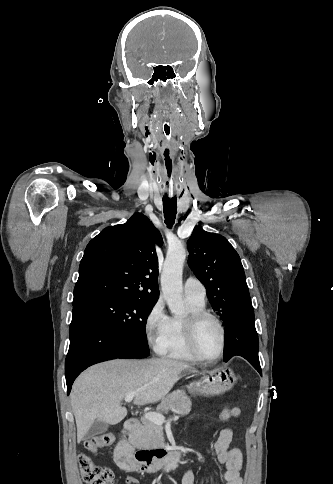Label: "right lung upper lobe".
I'll use <instances>...</instances> for the list:
<instances>
[{
	"label": "right lung upper lobe",
	"mask_w": 333,
	"mask_h": 484,
	"mask_svg": "<svg viewBox=\"0 0 333 484\" xmlns=\"http://www.w3.org/2000/svg\"><path fill=\"white\" fill-rule=\"evenodd\" d=\"M162 237L141 213L103 229L87 245L79 266L73 304L91 295L156 300Z\"/></svg>",
	"instance_id": "1"
}]
</instances>
